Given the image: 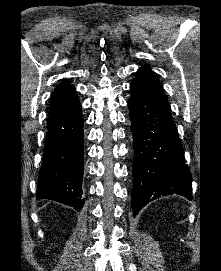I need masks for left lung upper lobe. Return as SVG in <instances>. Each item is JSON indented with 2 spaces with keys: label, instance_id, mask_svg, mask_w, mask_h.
Returning <instances> with one entry per match:
<instances>
[{
  "label": "left lung upper lobe",
  "instance_id": "1",
  "mask_svg": "<svg viewBox=\"0 0 221 271\" xmlns=\"http://www.w3.org/2000/svg\"><path fill=\"white\" fill-rule=\"evenodd\" d=\"M133 81L140 83L141 85L148 88L152 93L158 96L161 100L167 103V100L164 96L163 89L161 84L157 81L152 71L143 66L141 67L137 73L135 79Z\"/></svg>",
  "mask_w": 221,
  "mask_h": 271
}]
</instances>
